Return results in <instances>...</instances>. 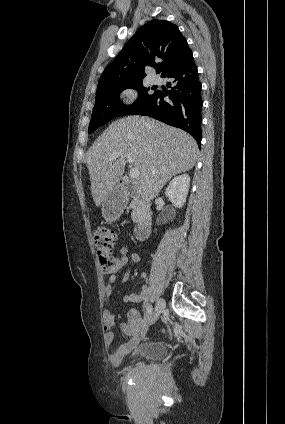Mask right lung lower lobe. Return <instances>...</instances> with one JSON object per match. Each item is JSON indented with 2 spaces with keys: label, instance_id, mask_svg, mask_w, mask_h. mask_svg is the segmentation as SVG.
<instances>
[{
  "label": "right lung lower lobe",
  "instance_id": "obj_1",
  "mask_svg": "<svg viewBox=\"0 0 285 424\" xmlns=\"http://www.w3.org/2000/svg\"><path fill=\"white\" fill-rule=\"evenodd\" d=\"M163 77L170 78L168 93L156 91L155 95L144 105L129 114L145 115L191 134L201 144V83L193 58L182 66L170 71ZM169 100L165 101L164 97Z\"/></svg>",
  "mask_w": 285,
  "mask_h": 424
}]
</instances>
